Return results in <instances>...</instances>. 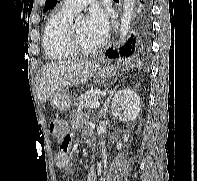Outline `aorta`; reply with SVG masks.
<instances>
[{
  "instance_id": "aorta-1",
  "label": "aorta",
  "mask_w": 197,
  "mask_h": 181,
  "mask_svg": "<svg viewBox=\"0 0 197 181\" xmlns=\"http://www.w3.org/2000/svg\"><path fill=\"white\" fill-rule=\"evenodd\" d=\"M136 0H124L123 15L120 25V38L119 42L124 44L128 38L130 32L131 21L133 18L134 7Z\"/></svg>"
}]
</instances>
